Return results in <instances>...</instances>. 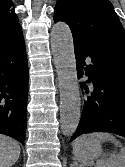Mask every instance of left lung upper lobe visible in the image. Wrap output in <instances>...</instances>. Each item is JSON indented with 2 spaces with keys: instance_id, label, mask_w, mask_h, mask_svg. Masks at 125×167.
I'll return each instance as SVG.
<instances>
[{
  "instance_id": "1",
  "label": "left lung upper lobe",
  "mask_w": 125,
  "mask_h": 167,
  "mask_svg": "<svg viewBox=\"0 0 125 167\" xmlns=\"http://www.w3.org/2000/svg\"><path fill=\"white\" fill-rule=\"evenodd\" d=\"M54 21L69 25L74 42L111 43L125 51V32L109 0H58Z\"/></svg>"
}]
</instances>
